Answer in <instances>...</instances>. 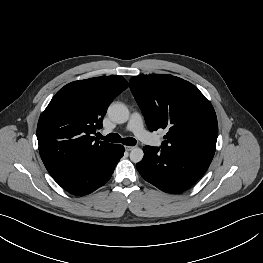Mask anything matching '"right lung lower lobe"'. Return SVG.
I'll return each instance as SVG.
<instances>
[{
	"label": "right lung lower lobe",
	"instance_id": "obj_1",
	"mask_svg": "<svg viewBox=\"0 0 263 263\" xmlns=\"http://www.w3.org/2000/svg\"><path fill=\"white\" fill-rule=\"evenodd\" d=\"M123 154L124 147L114 144L56 182L69 193L78 196L87 195L110 179Z\"/></svg>",
	"mask_w": 263,
	"mask_h": 263
}]
</instances>
